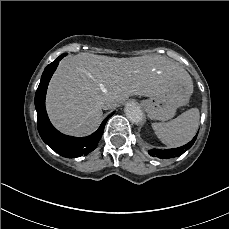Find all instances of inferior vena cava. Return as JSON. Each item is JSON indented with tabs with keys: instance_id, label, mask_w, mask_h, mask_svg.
Masks as SVG:
<instances>
[{
	"instance_id": "inferior-vena-cava-1",
	"label": "inferior vena cava",
	"mask_w": 229,
	"mask_h": 229,
	"mask_svg": "<svg viewBox=\"0 0 229 229\" xmlns=\"http://www.w3.org/2000/svg\"><path fill=\"white\" fill-rule=\"evenodd\" d=\"M107 103V102H106ZM114 106H116V104H114ZM103 109H109V108H107L105 105L103 106Z\"/></svg>"
}]
</instances>
